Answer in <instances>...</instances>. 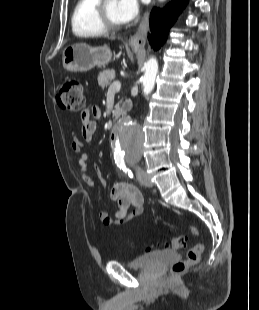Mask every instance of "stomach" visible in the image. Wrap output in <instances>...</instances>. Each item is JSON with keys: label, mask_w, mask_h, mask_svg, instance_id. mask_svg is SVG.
<instances>
[{"label": "stomach", "mask_w": 259, "mask_h": 310, "mask_svg": "<svg viewBox=\"0 0 259 310\" xmlns=\"http://www.w3.org/2000/svg\"><path fill=\"white\" fill-rule=\"evenodd\" d=\"M134 52L140 49L132 48ZM112 58L108 47H91L85 43H77L66 47L63 51V67L71 72H86L95 66H105Z\"/></svg>", "instance_id": "1"}]
</instances>
